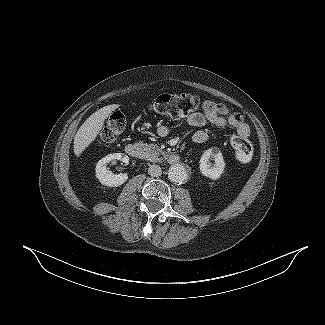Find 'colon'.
<instances>
[{
  "instance_id": "obj_1",
  "label": "colon",
  "mask_w": 325,
  "mask_h": 325,
  "mask_svg": "<svg viewBox=\"0 0 325 325\" xmlns=\"http://www.w3.org/2000/svg\"><path fill=\"white\" fill-rule=\"evenodd\" d=\"M200 106V98L189 93H165L158 95L148 104L149 110L170 119H180L190 116ZM126 118L120 112H114L101 131L103 142L114 141L125 129ZM236 158L241 163L249 162L253 157L252 144L238 135L231 139Z\"/></svg>"
}]
</instances>
